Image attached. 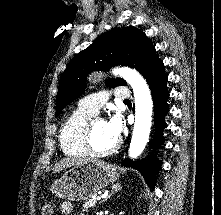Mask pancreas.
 Returning a JSON list of instances; mask_svg holds the SVG:
<instances>
[{
	"label": "pancreas",
	"instance_id": "pancreas-1",
	"mask_svg": "<svg viewBox=\"0 0 221 215\" xmlns=\"http://www.w3.org/2000/svg\"><path fill=\"white\" fill-rule=\"evenodd\" d=\"M94 197H96V196L93 195L89 200H87V201L84 203V205H83L84 209L87 210L88 208H92V207L95 206V204L97 203V200H96Z\"/></svg>",
	"mask_w": 221,
	"mask_h": 215
}]
</instances>
